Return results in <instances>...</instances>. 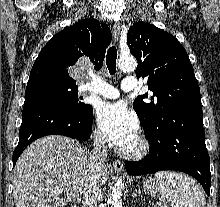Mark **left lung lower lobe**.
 Instances as JSON below:
<instances>
[{"label":"left lung lower lobe","instance_id":"0a47b994","mask_svg":"<svg viewBox=\"0 0 220 207\" xmlns=\"http://www.w3.org/2000/svg\"><path fill=\"white\" fill-rule=\"evenodd\" d=\"M146 137L150 152L141 161L125 163L129 175L176 170L197 179L210 195V159L205 145L202 106L186 105L163 117Z\"/></svg>","mask_w":220,"mask_h":207}]
</instances>
